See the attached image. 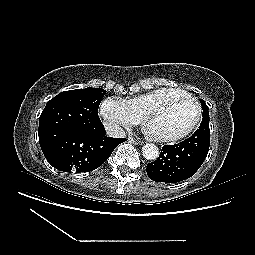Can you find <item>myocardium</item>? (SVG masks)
Here are the masks:
<instances>
[{"instance_id":"1","label":"myocardium","mask_w":255,"mask_h":255,"mask_svg":"<svg viewBox=\"0 0 255 255\" xmlns=\"http://www.w3.org/2000/svg\"><path fill=\"white\" fill-rule=\"evenodd\" d=\"M175 97H184L186 99H188L189 101H191L195 107H196V116L194 121L192 122V124L183 132L179 133V134H175V135H150L154 140L156 141H160V142H174V141H178L180 139L185 138L186 136H188L189 134H191L194 129L197 127V125L199 124L201 117H202V107L201 104L199 103V101L192 96L190 93L181 90V91H176V92H172L166 96H164L163 98H161L160 100H158L156 103H154L151 107H149L146 112L144 113V115L141 118L142 123L145 125L147 119L154 113L156 112L158 109H160L164 104H166L167 102H169L170 100H172Z\"/></svg>"}]
</instances>
